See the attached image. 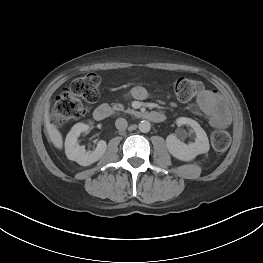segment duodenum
<instances>
[{
	"instance_id": "duodenum-1",
	"label": "duodenum",
	"mask_w": 263,
	"mask_h": 263,
	"mask_svg": "<svg viewBox=\"0 0 263 263\" xmlns=\"http://www.w3.org/2000/svg\"><path fill=\"white\" fill-rule=\"evenodd\" d=\"M110 114V108L107 105H100L93 111V117L96 121L106 119ZM143 117L151 122L160 123L165 120V115L159 111H149L143 114Z\"/></svg>"
}]
</instances>
